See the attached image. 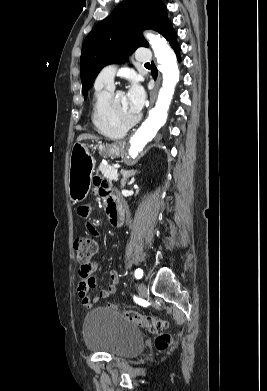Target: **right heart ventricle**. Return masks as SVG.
Returning <instances> with one entry per match:
<instances>
[{"label":"right heart ventricle","mask_w":267,"mask_h":391,"mask_svg":"<svg viewBox=\"0 0 267 391\" xmlns=\"http://www.w3.org/2000/svg\"><path fill=\"white\" fill-rule=\"evenodd\" d=\"M111 93V88H95L91 117L96 130L100 134L109 138H120L125 135L127 129L115 124L109 116L107 110V101Z\"/></svg>","instance_id":"1"}]
</instances>
